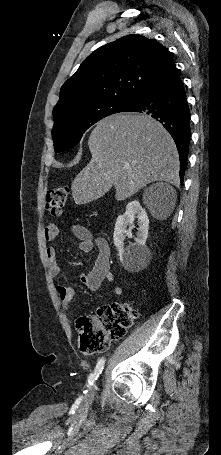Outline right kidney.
<instances>
[{
    "label": "right kidney",
    "mask_w": 221,
    "mask_h": 455,
    "mask_svg": "<svg viewBox=\"0 0 221 455\" xmlns=\"http://www.w3.org/2000/svg\"><path fill=\"white\" fill-rule=\"evenodd\" d=\"M162 186L163 185H157ZM138 221V232L135 238V243L124 248L125 237H132V229L134 228V220ZM129 228L127 229V227ZM149 229V219L144 208L137 200L129 202L126 206V211L120 215L115 224L113 241L119 252V258L127 270H133L144 265L149 259L150 252L145 245Z\"/></svg>",
    "instance_id": "right-kidney-1"
}]
</instances>
